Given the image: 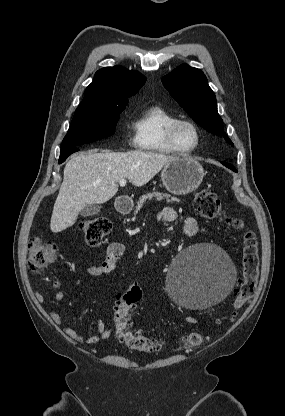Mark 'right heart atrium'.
Wrapping results in <instances>:
<instances>
[{
	"mask_svg": "<svg viewBox=\"0 0 285 416\" xmlns=\"http://www.w3.org/2000/svg\"><path fill=\"white\" fill-rule=\"evenodd\" d=\"M127 142L130 146H134L136 145V140H135V133L133 131H129L128 135H127Z\"/></svg>",
	"mask_w": 285,
	"mask_h": 416,
	"instance_id": "d8ad5b80",
	"label": "right heart atrium"
}]
</instances>
